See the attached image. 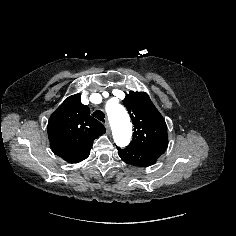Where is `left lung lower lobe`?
Listing matches in <instances>:
<instances>
[{"mask_svg": "<svg viewBox=\"0 0 236 236\" xmlns=\"http://www.w3.org/2000/svg\"><path fill=\"white\" fill-rule=\"evenodd\" d=\"M117 149L120 158L124 162L138 167L153 165L165 152L164 149L159 148H135L129 146L125 149H120L119 147Z\"/></svg>", "mask_w": 236, "mask_h": 236, "instance_id": "left-lung-lower-lobe-1", "label": "left lung lower lobe"}]
</instances>
